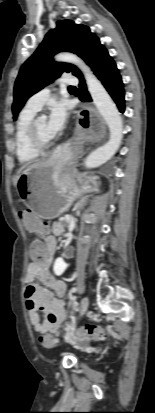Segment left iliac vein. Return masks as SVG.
I'll return each mask as SVG.
<instances>
[{"instance_id":"left-iliac-vein-1","label":"left iliac vein","mask_w":155,"mask_h":413,"mask_svg":"<svg viewBox=\"0 0 155 413\" xmlns=\"http://www.w3.org/2000/svg\"><path fill=\"white\" fill-rule=\"evenodd\" d=\"M89 306V299L88 297H83L80 303V308H79V316L82 317L86 314Z\"/></svg>"}]
</instances>
